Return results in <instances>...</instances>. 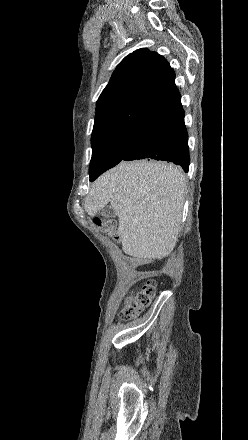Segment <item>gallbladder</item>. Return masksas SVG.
Segmentation results:
<instances>
[{
	"instance_id": "gallbladder-1",
	"label": "gallbladder",
	"mask_w": 248,
	"mask_h": 440,
	"mask_svg": "<svg viewBox=\"0 0 248 440\" xmlns=\"http://www.w3.org/2000/svg\"><path fill=\"white\" fill-rule=\"evenodd\" d=\"M101 215L103 218L109 219V218H113L116 215V213L111 205H107L101 210Z\"/></svg>"
}]
</instances>
